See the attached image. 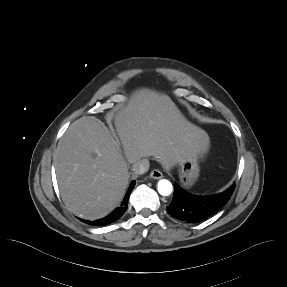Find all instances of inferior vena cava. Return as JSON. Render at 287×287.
<instances>
[{
	"mask_svg": "<svg viewBox=\"0 0 287 287\" xmlns=\"http://www.w3.org/2000/svg\"><path fill=\"white\" fill-rule=\"evenodd\" d=\"M149 161L147 159H142L133 164V172L137 175L146 173L149 170Z\"/></svg>",
	"mask_w": 287,
	"mask_h": 287,
	"instance_id": "602c4592",
	"label": "inferior vena cava"
}]
</instances>
